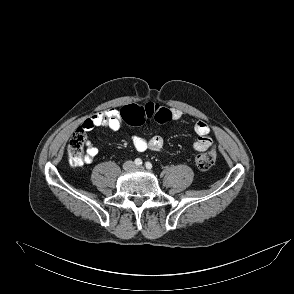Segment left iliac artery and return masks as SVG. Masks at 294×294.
<instances>
[{
	"label": "left iliac artery",
	"instance_id": "obj_1",
	"mask_svg": "<svg viewBox=\"0 0 294 294\" xmlns=\"http://www.w3.org/2000/svg\"><path fill=\"white\" fill-rule=\"evenodd\" d=\"M145 167H146L147 169H152V164H151L150 162H146V163H145Z\"/></svg>",
	"mask_w": 294,
	"mask_h": 294
}]
</instances>
